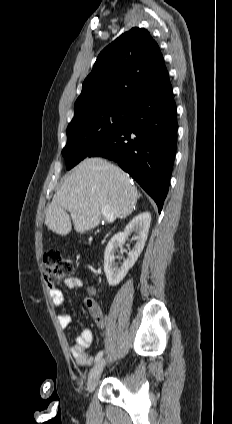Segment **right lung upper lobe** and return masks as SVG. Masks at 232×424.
<instances>
[{
    "label": "right lung upper lobe",
    "instance_id": "right-lung-upper-lobe-1",
    "mask_svg": "<svg viewBox=\"0 0 232 424\" xmlns=\"http://www.w3.org/2000/svg\"><path fill=\"white\" fill-rule=\"evenodd\" d=\"M168 76L158 44L146 29L132 28L98 56L75 102V115L94 106H132Z\"/></svg>",
    "mask_w": 232,
    "mask_h": 424
}]
</instances>
